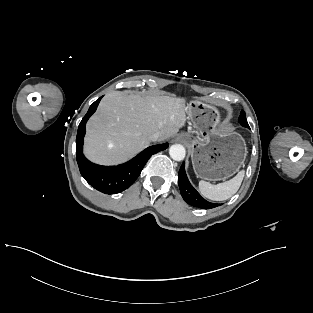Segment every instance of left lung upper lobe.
I'll list each match as a JSON object with an SVG mask.
<instances>
[{
    "label": "left lung upper lobe",
    "instance_id": "obj_1",
    "mask_svg": "<svg viewBox=\"0 0 313 313\" xmlns=\"http://www.w3.org/2000/svg\"><path fill=\"white\" fill-rule=\"evenodd\" d=\"M238 121H239V123H240L242 126H244V127H246V128L249 127L248 122H247V119H246V114H245V112H244L243 110L241 111V114H240V117H239Z\"/></svg>",
    "mask_w": 313,
    "mask_h": 313
}]
</instances>
